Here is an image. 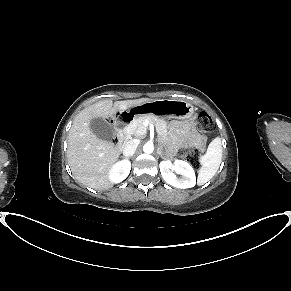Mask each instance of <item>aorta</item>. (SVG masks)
<instances>
[{"mask_svg":"<svg viewBox=\"0 0 291 291\" xmlns=\"http://www.w3.org/2000/svg\"><path fill=\"white\" fill-rule=\"evenodd\" d=\"M144 153L151 154L154 151V146L152 143L148 142L143 146Z\"/></svg>","mask_w":291,"mask_h":291,"instance_id":"obj_1","label":"aorta"}]
</instances>
